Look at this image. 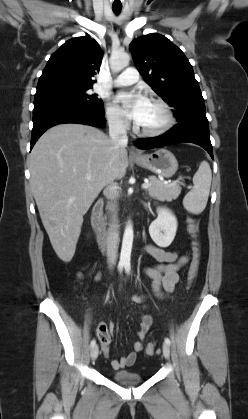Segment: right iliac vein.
I'll use <instances>...</instances> for the list:
<instances>
[{
    "label": "right iliac vein",
    "mask_w": 248,
    "mask_h": 419,
    "mask_svg": "<svg viewBox=\"0 0 248 419\" xmlns=\"http://www.w3.org/2000/svg\"><path fill=\"white\" fill-rule=\"evenodd\" d=\"M98 353H99V348L97 345L93 346L90 352L91 355V359L92 360H96L98 357Z\"/></svg>",
    "instance_id": "obj_1"
}]
</instances>
